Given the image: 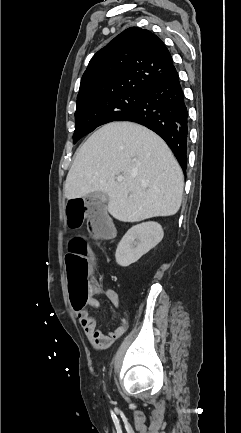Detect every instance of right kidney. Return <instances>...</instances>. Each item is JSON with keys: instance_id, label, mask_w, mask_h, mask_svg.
Here are the masks:
<instances>
[{"instance_id": "right-kidney-1", "label": "right kidney", "mask_w": 241, "mask_h": 433, "mask_svg": "<svg viewBox=\"0 0 241 433\" xmlns=\"http://www.w3.org/2000/svg\"><path fill=\"white\" fill-rule=\"evenodd\" d=\"M164 236L157 222H144L130 228L119 242L115 258L118 265L127 267L154 248Z\"/></svg>"}]
</instances>
